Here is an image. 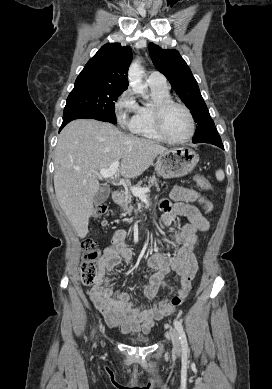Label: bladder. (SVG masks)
I'll return each instance as SVG.
<instances>
[{
	"instance_id": "1",
	"label": "bladder",
	"mask_w": 272,
	"mask_h": 389,
	"mask_svg": "<svg viewBox=\"0 0 272 389\" xmlns=\"http://www.w3.org/2000/svg\"><path fill=\"white\" fill-rule=\"evenodd\" d=\"M150 342L149 339H146V338H138L134 341L135 344H138V345H148Z\"/></svg>"
}]
</instances>
